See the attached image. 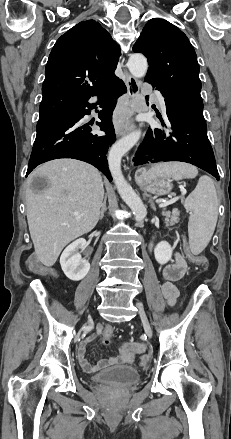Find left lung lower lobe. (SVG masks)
Wrapping results in <instances>:
<instances>
[{
  "label": "left lung lower lobe",
  "instance_id": "obj_1",
  "mask_svg": "<svg viewBox=\"0 0 231 439\" xmlns=\"http://www.w3.org/2000/svg\"><path fill=\"white\" fill-rule=\"evenodd\" d=\"M147 82L165 97L169 131L149 129L133 158L134 165L182 161L207 171L219 180L205 120L166 97L155 84ZM146 99H149L148 96ZM162 125L166 127L163 121Z\"/></svg>",
  "mask_w": 231,
  "mask_h": 439
}]
</instances>
